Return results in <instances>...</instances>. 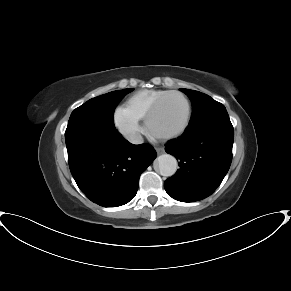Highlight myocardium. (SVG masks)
<instances>
[{
    "mask_svg": "<svg viewBox=\"0 0 291 291\" xmlns=\"http://www.w3.org/2000/svg\"><path fill=\"white\" fill-rule=\"evenodd\" d=\"M173 95H177V96L182 97L186 103L187 117H186L185 123L174 132H171L168 134H156L152 131V128H151L152 119L155 116V114L157 113V111L159 110V108L161 107V105L163 104V102L168 97L173 96ZM192 115H193L192 104H191L189 98L184 93H182L180 91H169L168 93L161 96L154 103V105L150 108V110L146 114V116H145L146 132L150 137H152L154 139H158V140H170V139L179 137L182 134H184L186 132V130L188 129V127L190 126L191 121H192Z\"/></svg>",
    "mask_w": 291,
    "mask_h": 291,
    "instance_id": "1",
    "label": "myocardium"
}]
</instances>
